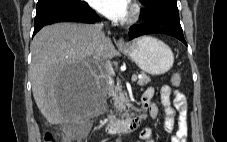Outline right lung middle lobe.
Here are the masks:
<instances>
[{"instance_id":"obj_1","label":"right lung middle lobe","mask_w":227,"mask_h":142,"mask_svg":"<svg viewBox=\"0 0 227 142\" xmlns=\"http://www.w3.org/2000/svg\"><path fill=\"white\" fill-rule=\"evenodd\" d=\"M83 0H38L37 11L55 7H68L83 4Z\"/></svg>"}]
</instances>
